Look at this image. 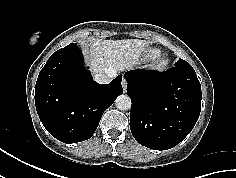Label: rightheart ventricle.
Returning <instances> with one entry per match:
<instances>
[{
	"label": "right heart ventricle",
	"mask_w": 236,
	"mask_h": 178,
	"mask_svg": "<svg viewBox=\"0 0 236 178\" xmlns=\"http://www.w3.org/2000/svg\"><path fill=\"white\" fill-rule=\"evenodd\" d=\"M160 55V50L158 49H148L145 52V57L147 59H154Z\"/></svg>",
	"instance_id": "right-heart-ventricle-1"
}]
</instances>
